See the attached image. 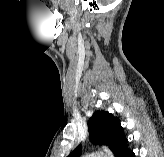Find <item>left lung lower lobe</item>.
I'll list each match as a JSON object with an SVG mask.
<instances>
[{
    "label": "left lung lower lobe",
    "instance_id": "obj_1",
    "mask_svg": "<svg viewBox=\"0 0 164 157\" xmlns=\"http://www.w3.org/2000/svg\"><path fill=\"white\" fill-rule=\"evenodd\" d=\"M127 139L120 142L114 149V157H135L133 151H131L127 146Z\"/></svg>",
    "mask_w": 164,
    "mask_h": 157
}]
</instances>
